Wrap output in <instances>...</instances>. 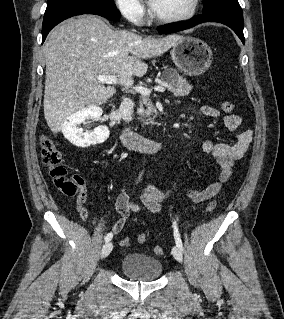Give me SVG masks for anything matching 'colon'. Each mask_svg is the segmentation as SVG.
I'll list each match as a JSON object with an SVG mask.
<instances>
[{"instance_id": "1", "label": "colon", "mask_w": 284, "mask_h": 319, "mask_svg": "<svg viewBox=\"0 0 284 319\" xmlns=\"http://www.w3.org/2000/svg\"><path fill=\"white\" fill-rule=\"evenodd\" d=\"M221 108L226 113H231L234 105L230 101H223ZM40 155L43 164L49 169L53 183L56 189L66 196H72L81 188L83 182L79 176H70L66 168L62 165V155L57 149L53 139L48 135L40 137ZM217 202L212 200L206 207L207 212H212L216 208ZM140 244H144L147 240L145 234L138 235L137 238ZM130 244L129 238H124L120 241L121 246H128ZM156 255L163 254V248L155 246L153 249Z\"/></svg>"}]
</instances>
